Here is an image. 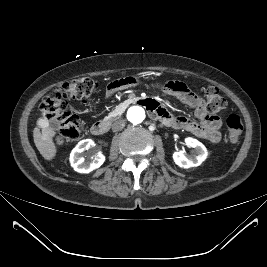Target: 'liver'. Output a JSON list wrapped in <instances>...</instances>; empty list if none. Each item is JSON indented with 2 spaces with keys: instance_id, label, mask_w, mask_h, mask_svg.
I'll list each match as a JSON object with an SVG mask.
<instances>
[{
  "instance_id": "6515ba94",
  "label": "liver",
  "mask_w": 267,
  "mask_h": 267,
  "mask_svg": "<svg viewBox=\"0 0 267 267\" xmlns=\"http://www.w3.org/2000/svg\"><path fill=\"white\" fill-rule=\"evenodd\" d=\"M40 122V120L37 122V127L33 130L34 143L44 159L52 160L57 153V147L53 141L56 132L48 126H41ZM40 127L42 131H40Z\"/></svg>"
}]
</instances>
